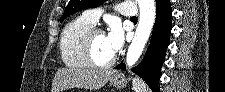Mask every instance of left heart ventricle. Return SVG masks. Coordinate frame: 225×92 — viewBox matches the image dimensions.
<instances>
[{
	"label": "left heart ventricle",
	"instance_id": "b2bd125f",
	"mask_svg": "<svg viewBox=\"0 0 225 92\" xmlns=\"http://www.w3.org/2000/svg\"><path fill=\"white\" fill-rule=\"evenodd\" d=\"M92 54L94 59L100 64L107 63L114 57L110 51L105 33H98L94 36Z\"/></svg>",
	"mask_w": 225,
	"mask_h": 92
}]
</instances>
